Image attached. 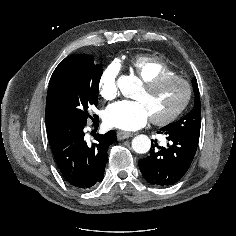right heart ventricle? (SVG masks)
I'll list each match as a JSON object with an SVG mask.
<instances>
[{"label": "right heart ventricle", "mask_w": 236, "mask_h": 236, "mask_svg": "<svg viewBox=\"0 0 236 236\" xmlns=\"http://www.w3.org/2000/svg\"><path fill=\"white\" fill-rule=\"evenodd\" d=\"M135 75L144 83L162 75H173L174 70L162 59L152 55H140L131 61Z\"/></svg>", "instance_id": "1"}]
</instances>
